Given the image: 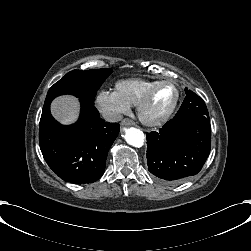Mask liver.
<instances>
[{
  "label": "liver",
  "instance_id": "liver-1",
  "mask_svg": "<svg viewBox=\"0 0 251 251\" xmlns=\"http://www.w3.org/2000/svg\"><path fill=\"white\" fill-rule=\"evenodd\" d=\"M50 113L61 125H72L79 121L81 115V104L79 99L72 94H61L56 96L50 104ZM55 138L62 137V132L52 131Z\"/></svg>",
  "mask_w": 251,
  "mask_h": 251
}]
</instances>
